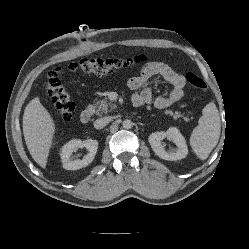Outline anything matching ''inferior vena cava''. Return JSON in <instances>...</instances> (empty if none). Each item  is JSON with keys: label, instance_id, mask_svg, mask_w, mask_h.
I'll use <instances>...</instances> for the list:
<instances>
[{"label": "inferior vena cava", "instance_id": "602c4592", "mask_svg": "<svg viewBox=\"0 0 249 249\" xmlns=\"http://www.w3.org/2000/svg\"><path fill=\"white\" fill-rule=\"evenodd\" d=\"M111 121L110 117L99 118L94 122V127L96 129H102Z\"/></svg>", "mask_w": 249, "mask_h": 249}]
</instances>
